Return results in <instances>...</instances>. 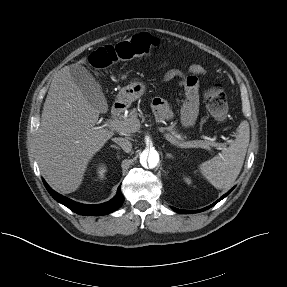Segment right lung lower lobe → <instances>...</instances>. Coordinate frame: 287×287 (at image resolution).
Returning a JSON list of instances; mask_svg holds the SVG:
<instances>
[{
	"label": "right lung lower lobe",
	"instance_id": "98d812e1",
	"mask_svg": "<svg viewBox=\"0 0 287 287\" xmlns=\"http://www.w3.org/2000/svg\"><path fill=\"white\" fill-rule=\"evenodd\" d=\"M44 185L50 195L59 203L65 205L68 207L70 210L74 211L75 213H78L80 215H105L109 214L123 204L124 197L121 194L120 187L118 188L116 196L111 199L110 201L102 204H97V205H86V204H81L78 202H75L69 198H66L57 192H55L53 189L50 188V186L43 180Z\"/></svg>",
	"mask_w": 287,
	"mask_h": 287
}]
</instances>
